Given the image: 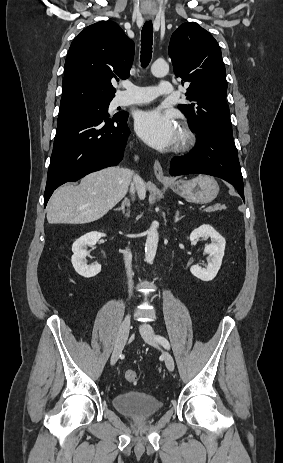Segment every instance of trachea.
I'll return each instance as SVG.
<instances>
[{
  "label": "trachea",
  "instance_id": "obj_1",
  "mask_svg": "<svg viewBox=\"0 0 283 463\" xmlns=\"http://www.w3.org/2000/svg\"><path fill=\"white\" fill-rule=\"evenodd\" d=\"M153 45V25L151 21H146L141 31V65L146 67L152 56Z\"/></svg>",
  "mask_w": 283,
  "mask_h": 463
}]
</instances>
